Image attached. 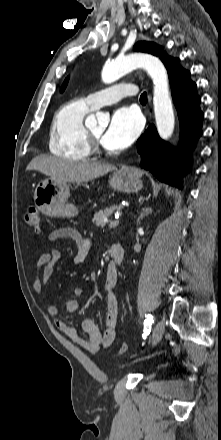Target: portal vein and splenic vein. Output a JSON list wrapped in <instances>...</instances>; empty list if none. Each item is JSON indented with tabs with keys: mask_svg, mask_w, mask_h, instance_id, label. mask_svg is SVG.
Returning <instances> with one entry per match:
<instances>
[{
	"mask_svg": "<svg viewBox=\"0 0 221 440\" xmlns=\"http://www.w3.org/2000/svg\"><path fill=\"white\" fill-rule=\"evenodd\" d=\"M118 224H119V220L116 219V220L110 221V223H109V227H110V228H112V227H116Z\"/></svg>",
	"mask_w": 221,
	"mask_h": 440,
	"instance_id": "portal-vein-and-splenic-vein-1",
	"label": "portal vein and splenic vein"
}]
</instances>
